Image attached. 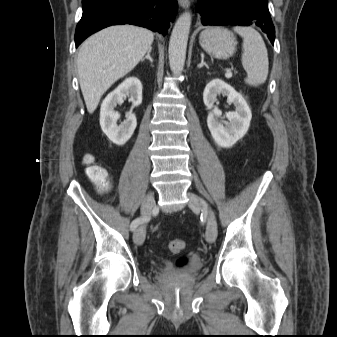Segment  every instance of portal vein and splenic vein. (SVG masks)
I'll use <instances>...</instances> for the list:
<instances>
[{"label": "portal vein and splenic vein", "mask_w": 337, "mask_h": 337, "mask_svg": "<svg viewBox=\"0 0 337 337\" xmlns=\"http://www.w3.org/2000/svg\"><path fill=\"white\" fill-rule=\"evenodd\" d=\"M225 76L227 78H231L232 77V72L231 71H227L226 74H225Z\"/></svg>", "instance_id": "obj_1"}]
</instances>
